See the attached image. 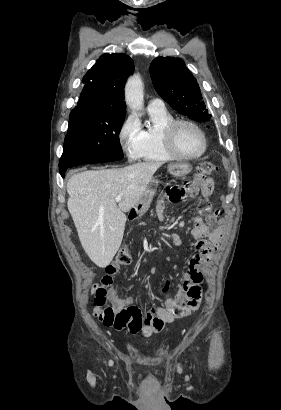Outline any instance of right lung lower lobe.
Segmentation results:
<instances>
[{
    "mask_svg": "<svg viewBox=\"0 0 281 410\" xmlns=\"http://www.w3.org/2000/svg\"><path fill=\"white\" fill-rule=\"evenodd\" d=\"M65 171H66V170H65ZM65 171H60V174H61L62 177H64Z\"/></svg>",
    "mask_w": 281,
    "mask_h": 410,
    "instance_id": "obj_1",
    "label": "right lung lower lobe"
}]
</instances>
